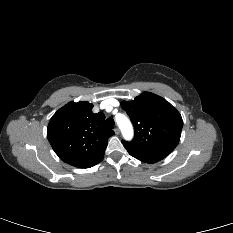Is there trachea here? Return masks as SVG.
Instances as JSON below:
<instances>
[{
    "instance_id": "1",
    "label": "trachea",
    "mask_w": 233,
    "mask_h": 233,
    "mask_svg": "<svg viewBox=\"0 0 233 233\" xmlns=\"http://www.w3.org/2000/svg\"><path fill=\"white\" fill-rule=\"evenodd\" d=\"M114 120L111 118L106 119V125L108 128L113 129L114 128Z\"/></svg>"
}]
</instances>
